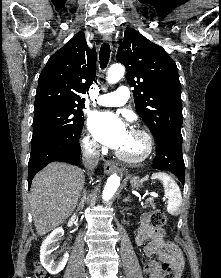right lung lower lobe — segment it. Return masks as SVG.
<instances>
[{
  "label": "right lung lower lobe",
  "mask_w": 221,
  "mask_h": 278,
  "mask_svg": "<svg viewBox=\"0 0 221 278\" xmlns=\"http://www.w3.org/2000/svg\"><path fill=\"white\" fill-rule=\"evenodd\" d=\"M80 135L54 134L31 143L28 163V189L35 174L53 161H64L73 165L79 163L81 148Z\"/></svg>",
  "instance_id": "98d812e1"
}]
</instances>
